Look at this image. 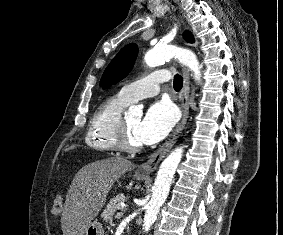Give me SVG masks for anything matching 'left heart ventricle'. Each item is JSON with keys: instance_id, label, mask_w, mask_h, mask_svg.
Wrapping results in <instances>:
<instances>
[{"instance_id": "left-heart-ventricle-1", "label": "left heart ventricle", "mask_w": 283, "mask_h": 235, "mask_svg": "<svg viewBox=\"0 0 283 235\" xmlns=\"http://www.w3.org/2000/svg\"><path fill=\"white\" fill-rule=\"evenodd\" d=\"M126 128L129 134V138L133 143H139L136 136V128L140 124V119H127L125 120Z\"/></svg>"}]
</instances>
